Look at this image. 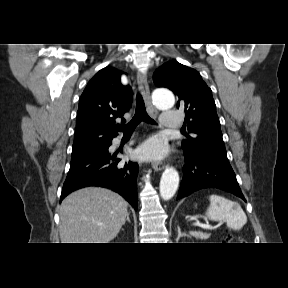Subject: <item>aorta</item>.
<instances>
[{
	"instance_id": "762f6f07",
	"label": "aorta",
	"mask_w": 288,
	"mask_h": 288,
	"mask_svg": "<svg viewBox=\"0 0 288 288\" xmlns=\"http://www.w3.org/2000/svg\"><path fill=\"white\" fill-rule=\"evenodd\" d=\"M153 102L159 109H170L174 106L175 98L170 91L156 90L153 95ZM179 185V174L173 167L166 168L160 180V196L164 200L171 199Z\"/></svg>"
}]
</instances>
